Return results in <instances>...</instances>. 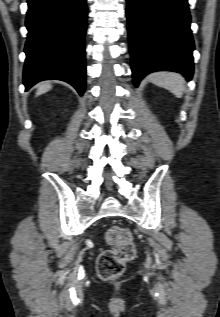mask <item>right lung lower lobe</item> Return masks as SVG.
<instances>
[{
	"label": "right lung lower lobe",
	"instance_id": "right-lung-lower-lobe-1",
	"mask_svg": "<svg viewBox=\"0 0 220 317\" xmlns=\"http://www.w3.org/2000/svg\"><path fill=\"white\" fill-rule=\"evenodd\" d=\"M23 83L57 79L85 89L86 0H27Z\"/></svg>",
	"mask_w": 220,
	"mask_h": 317
}]
</instances>
